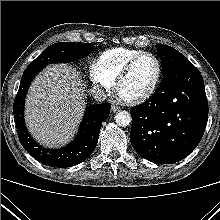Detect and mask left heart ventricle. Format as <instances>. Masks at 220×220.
<instances>
[{
	"instance_id": "1",
	"label": "left heart ventricle",
	"mask_w": 220,
	"mask_h": 220,
	"mask_svg": "<svg viewBox=\"0 0 220 220\" xmlns=\"http://www.w3.org/2000/svg\"><path fill=\"white\" fill-rule=\"evenodd\" d=\"M156 63L149 56L141 57L121 83L119 94L125 99L138 97L152 85L156 76Z\"/></svg>"
}]
</instances>
